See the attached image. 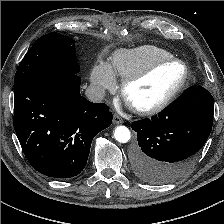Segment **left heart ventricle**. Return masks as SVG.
Listing matches in <instances>:
<instances>
[{
    "mask_svg": "<svg viewBox=\"0 0 224 224\" xmlns=\"http://www.w3.org/2000/svg\"><path fill=\"white\" fill-rule=\"evenodd\" d=\"M183 67L170 63L155 70L148 77L132 84L128 90L130 102L141 108L162 101L181 81Z\"/></svg>",
    "mask_w": 224,
    "mask_h": 224,
    "instance_id": "1",
    "label": "left heart ventricle"
}]
</instances>
